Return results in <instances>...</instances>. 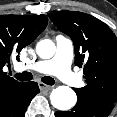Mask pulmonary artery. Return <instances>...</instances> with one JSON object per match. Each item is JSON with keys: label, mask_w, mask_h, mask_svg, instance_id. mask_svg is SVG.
Instances as JSON below:
<instances>
[{"label": "pulmonary artery", "mask_w": 117, "mask_h": 117, "mask_svg": "<svg viewBox=\"0 0 117 117\" xmlns=\"http://www.w3.org/2000/svg\"><path fill=\"white\" fill-rule=\"evenodd\" d=\"M73 55L74 45L72 40L64 35H57L56 52L51 59L26 66L22 65L21 69L55 75L70 86H78L81 80L71 70Z\"/></svg>", "instance_id": "pulmonary-artery-1"}]
</instances>
